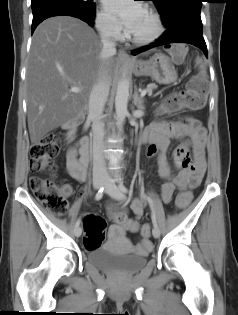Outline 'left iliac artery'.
Instances as JSON below:
<instances>
[{"instance_id":"obj_1","label":"left iliac artery","mask_w":238,"mask_h":315,"mask_svg":"<svg viewBox=\"0 0 238 315\" xmlns=\"http://www.w3.org/2000/svg\"><path fill=\"white\" fill-rule=\"evenodd\" d=\"M118 185H119V188L120 190L123 192V193H128V189L125 187V185L123 184V182L121 181V179L119 178L118 179ZM143 197L145 199H147L149 205H150V208H151V211H152V214H151V219H152V223H153V226L154 227H158V224H157V220H156V215H155V211H154V204H153V200L151 197L149 196H146V195H143Z\"/></svg>"}]
</instances>
